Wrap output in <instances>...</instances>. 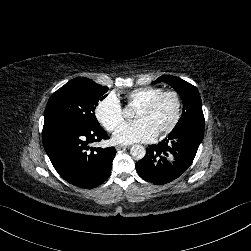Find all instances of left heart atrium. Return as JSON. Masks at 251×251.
<instances>
[{"label":"left heart atrium","mask_w":251,"mask_h":251,"mask_svg":"<svg viewBox=\"0 0 251 251\" xmlns=\"http://www.w3.org/2000/svg\"><path fill=\"white\" fill-rule=\"evenodd\" d=\"M159 130L150 119L121 124L114 133V140L119 144L151 142L158 136Z\"/></svg>","instance_id":"obj_1"}]
</instances>
